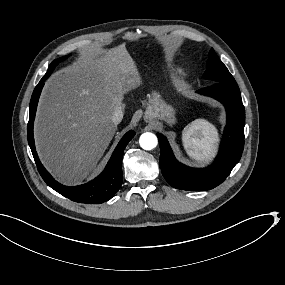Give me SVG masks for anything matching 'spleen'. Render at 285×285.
<instances>
[{
    "instance_id": "obj_1",
    "label": "spleen",
    "mask_w": 285,
    "mask_h": 285,
    "mask_svg": "<svg viewBox=\"0 0 285 285\" xmlns=\"http://www.w3.org/2000/svg\"><path fill=\"white\" fill-rule=\"evenodd\" d=\"M183 140L190 156L204 159L212 155L217 135L213 126L202 120H195L185 127Z\"/></svg>"
}]
</instances>
